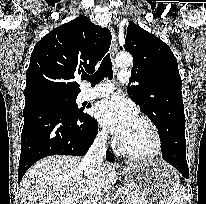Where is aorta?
<instances>
[{
  "label": "aorta",
  "instance_id": "aorta-1",
  "mask_svg": "<svg viewBox=\"0 0 206 204\" xmlns=\"http://www.w3.org/2000/svg\"><path fill=\"white\" fill-rule=\"evenodd\" d=\"M116 65L118 67H128L132 63V57L128 53H119L115 58ZM106 204H112L110 201Z\"/></svg>",
  "mask_w": 206,
  "mask_h": 204
}]
</instances>
